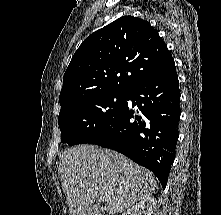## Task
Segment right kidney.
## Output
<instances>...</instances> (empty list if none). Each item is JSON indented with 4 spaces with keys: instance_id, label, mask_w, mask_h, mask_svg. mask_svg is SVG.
I'll return each instance as SVG.
<instances>
[{
    "instance_id": "1",
    "label": "right kidney",
    "mask_w": 221,
    "mask_h": 215,
    "mask_svg": "<svg viewBox=\"0 0 221 215\" xmlns=\"http://www.w3.org/2000/svg\"><path fill=\"white\" fill-rule=\"evenodd\" d=\"M156 203V199L149 196L128 209L126 215H152Z\"/></svg>"
}]
</instances>
